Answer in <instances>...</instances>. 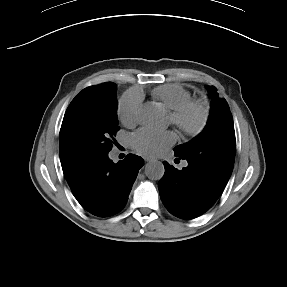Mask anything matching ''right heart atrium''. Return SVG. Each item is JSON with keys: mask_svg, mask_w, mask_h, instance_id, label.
<instances>
[{"mask_svg": "<svg viewBox=\"0 0 287 287\" xmlns=\"http://www.w3.org/2000/svg\"><path fill=\"white\" fill-rule=\"evenodd\" d=\"M118 115L124 125H136L141 116L140 95L133 92L124 94L118 103Z\"/></svg>", "mask_w": 287, "mask_h": 287, "instance_id": "obj_1", "label": "right heart atrium"}]
</instances>
